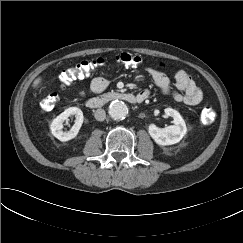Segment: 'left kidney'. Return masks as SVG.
Here are the masks:
<instances>
[{"instance_id": "1", "label": "left kidney", "mask_w": 243, "mask_h": 243, "mask_svg": "<svg viewBox=\"0 0 243 243\" xmlns=\"http://www.w3.org/2000/svg\"><path fill=\"white\" fill-rule=\"evenodd\" d=\"M165 114L173 118L174 125L165 128H159L154 124L149 126V134L158 145H173L186 135L187 127L184 119L178 111L172 108H166Z\"/></svg>"}]
</instances>
